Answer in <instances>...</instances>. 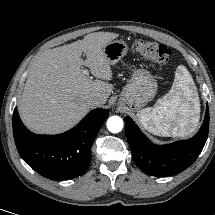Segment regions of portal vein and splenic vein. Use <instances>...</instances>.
Instances as JSON below:
<instances>
[{
  "label": "portal vein and splenic vein",
  "mask_w": 215,
  "mask_h": 215,
  "mask_svg": "<svg viewBox=\"0 0 215 215\" xmlns=\"http://www.w3.org/2000/svg\"><path fill=\"white\" fill-rule=\"evenodd\" d=\"M82 72H83L84 75H87V76L89 75L88 69H84Z\"/></svg>",
  "instance_id": "18ae733b"
}]
</instances>
